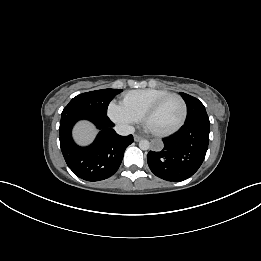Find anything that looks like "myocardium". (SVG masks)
<instances>
[{
  "label": "myocardium",
  "instance_id": "myocardium-1",
  "mask_svg": "<svg viewBox=\"0 0 261 261\" xmlns=\"http://www.w3.org/2000/svg\"><path fill=\"white\" fill-rule=\"evenodd\" d=\"M170 98H176L177 100H179V102L181 103L182 106V115L181 118L179 120V122L171 129L166 130V131H156L151 129L148 126V120L149 118L158 110V108L168 99ZM186 117H187V105L185 100L176 93H169L161 98H159L158 100H156L154 103H152L144 112L143 116H142V122L144 127L153 135L159 136V137H165V136H169L172 135L174 133H176L185 123L186 121Z\"/></svg>",
  "mask_w": 261,
  "mask_h": 261
}]
</instances>
